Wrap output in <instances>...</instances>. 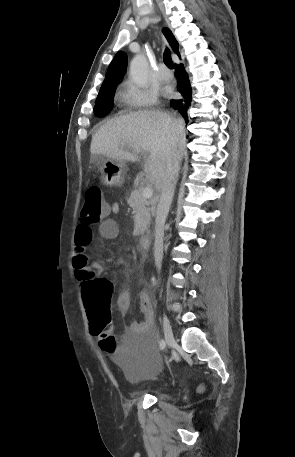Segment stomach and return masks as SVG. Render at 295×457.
<instances>
[{
  "mask_svg": "<svg viewBox=\"0 0 295 457\" xmlns=\"http://www.w3.org/2000/svg\"><path fill=\"white\" fill-rule=\"evenodd\" d=\"M97 158L101 159V156ZM103 182L110 187L121 186L125 179V163L124 161L105 158L100 165Z\"/></svg>",
  "mask_w": 295,
  "mask_h": 457,
  "instance_id": "0dacf381",
  "label": "stomach"
}]
</instances>
